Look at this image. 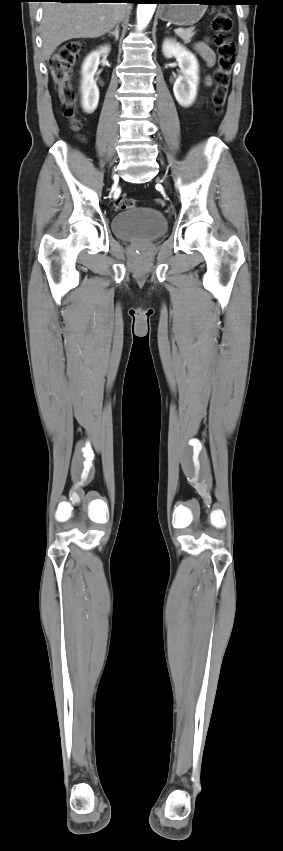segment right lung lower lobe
I'll return each mask as SVG.
<instances>
[{"label":"right lung lower lobe","instance_id":"98d812e1","mask_svg":"<svg viewBox=\"0 0 283 851\" xmlns=\"http://www.w3.org/2000/svg\"><path fill=\"white\" fill-rule=\"evenodd\" d=\"M46 1H55V2H92V3H109V2H126V3H140L142 0H46Z\"/></svg>","mask_w":283,"mask_h":851}]
</instances>
